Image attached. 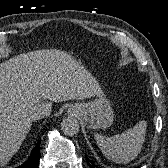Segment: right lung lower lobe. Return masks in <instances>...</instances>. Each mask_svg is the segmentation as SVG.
Returning a JSON list of instances; mask_svg holds the SVG:
<instances>
[{
  "label": "right lung lower lobe",
  "mask_w": 168,
  "mask_h": 168,
  "mask_svg": "<svg viewBox=\"0 0 168 168\" xmlns=\"http://www.w3.org/2000/svg\"><path fill=\"white\" fill-rule=\"evenodd\" d=\"M40 141L37 143L36 147L33 149L29 159L20 167L17 168H38L40 151H39Z\"/></svg>",
  "instance_id": "98d812e1"
}]
</instances>
